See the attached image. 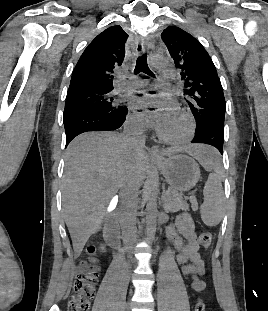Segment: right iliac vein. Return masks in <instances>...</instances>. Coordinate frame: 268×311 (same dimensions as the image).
<instances>
[{"mask_svg": "<svg viewBox=\"0 0 268 311\" xmlns=\"http://www.w3.org/2000/svg\"><path fill=\"white\" fill-rule=\"evenodd\" d=\"M127 311H129V306L127 307Z\"/></svg>", "mask_w": 268, "mask_h": 311, "instance_id": "63e3f726", "label": "right iliac vein"}]
</instances>
